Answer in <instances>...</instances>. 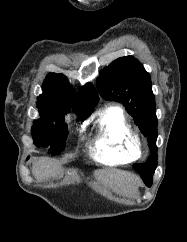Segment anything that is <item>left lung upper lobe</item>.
Listing matches in <instances>:
<instances>
[{
    "instance_id": "left-lung-upper-lobe-1",
    "label": "left lung upper lobe",
    "mask_w": 187,
    "mask_h": 242,
    "mask_svg": "<svg viewBox=\"0 0 187 242\" xmlns=\"http://www.w3.org/2000/svg\"><path fill=\"white\" fill-rule=\"evenodd\" d=\"M96 83L101 96L122 103L140 131L148 137L151 155L146 162L133 166L142 178L153 177L157 166L158 122L149 73L137 59L125 56L105 67Z\"/></svg>"
}]
</instances>
